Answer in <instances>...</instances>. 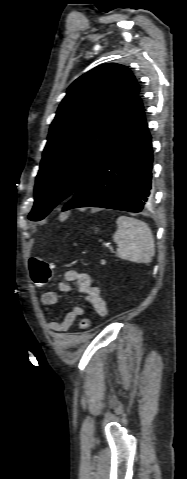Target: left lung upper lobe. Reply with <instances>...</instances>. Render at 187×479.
<instances>
[{
	"label": "left lung upper lobe",
	"mask_w": 187,
	"mask_h": 479,
	"mask_svg": "<svg viewBox=\"0 0 187 479\" xmlns=\"http://www.w3.org/2000/svg\"><path fill=\"white\" fill-rule=\"evenodd\" d=\"M140 87L125 66L100 65L76 79L48 135L28 218L42 220L70 198L119 136Z\"/></svg>",
	"instance_id": "5c2ea615"
}]
</instances>
